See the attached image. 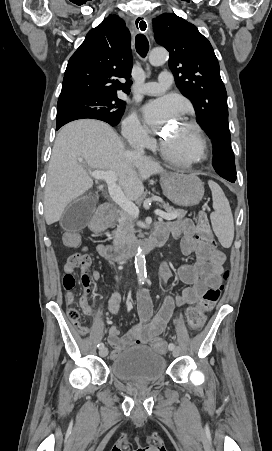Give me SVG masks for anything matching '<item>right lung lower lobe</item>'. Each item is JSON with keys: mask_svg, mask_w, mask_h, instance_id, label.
Listing matches in <instances>:
<instances>
[{"mask_svg": "<svg viewBox=\"0 0 272 451\" xmlns=\"http://www.w3.org/2000/svg\"><path fill=\"white\" fill-rule=\"evenodd\" d=\"M63 126V125H62ZM61 126H56V130H58Z\"/></svg>", "mask_w": 272, "mask_h": 451, "instance_id": "right-lung-lower-lobe-1", "label": "right lung lower lobe"}]
</instances>
